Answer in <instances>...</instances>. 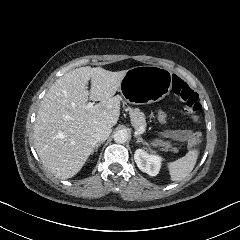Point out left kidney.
Segmentation results:
<instances>
[{
	"label": "left kidney",
	"mask_w": 240,
	"mask_h": 240,
	"mask_svg": "<svg viewBox=\"0 0 240 240\" xmlns=\"http://www.w3.org/2000/svg\"><path fill=\"white\" fill-rule=\"evenodd\" d=\"M134 160L137 167L150 176H156L160 171L162 157L148 154L144 149H137L135 151Z\"/></svg>",
	"instance_id": "obj_1"
}]
</instances>
